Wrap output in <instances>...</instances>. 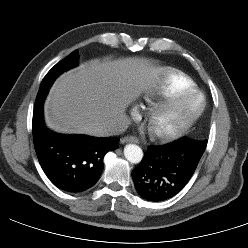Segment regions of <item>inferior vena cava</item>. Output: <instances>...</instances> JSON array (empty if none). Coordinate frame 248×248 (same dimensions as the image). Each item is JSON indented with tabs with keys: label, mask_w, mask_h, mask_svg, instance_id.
<instances>
[{
	"label": "inferior vena cava",
	"mask_w": 248,
	"mask_h": 248,
	"mask_svg": "<svg viewBox=\"0 0 248 248\" xmlns=\"http://www.w3.org/2000/svg\"><path fill=\"white\" fill-rule=\"evenodd\" d=\"M130 120L125 114H122L119 119L106 129V136L119 135L123 133L129 126Z\"/></svg>",
	"instance_id": "602c4592"
}]
</instances>
